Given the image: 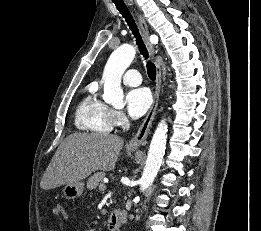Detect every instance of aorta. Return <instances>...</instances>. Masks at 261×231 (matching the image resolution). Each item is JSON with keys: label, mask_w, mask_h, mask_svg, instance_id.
Here are the masks:
<instances>
[{"label": "aorta", "mask_w": 261, "mask_h": 231, "mask_svg": "<svg viewBox=\"0 0 261 231\" xmlns=\"http://www.w3.org/2000/svg\"><path fill=\"white\" fill-rule=\"evenodd\" d=\"M136 51L132 45L124 44L118 47L109 57L104 68L103 100L114 107H122L124 94L121 88V78L135 57ZM168 126L162 119L153 135L145 168L140 179V190L145 191L153 183L162 164L166 149Z\"/></svg>", "instance_id": "762f6f07"}]
</instances>
